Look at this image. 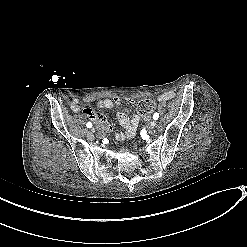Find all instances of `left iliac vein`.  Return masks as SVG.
Wrapping results in <instances>:
<instances>
[{
  "label": "left iliac vein",
  "mask_w": 247,
  "mask_h": 247,
  "mask_svg": "<svg viewBox=\"0 0 247 247\" xmlns=\"http://www.w3.org/2000/svg\"><path fill=\"white\" fill-rule=\"evenodd\" d=\"M156 126V122L155 121H151L150 123V129H153Z\"/></svg>",
  "instance_id": "1"
}]
</instances>
